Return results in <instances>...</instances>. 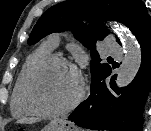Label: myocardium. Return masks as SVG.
<instances>
[{
    "mask_svg": "<svg viewBox=\"0 0 151 131\" xmlns=\"http://www.w3.org/2000/svg\"><path fill=\"white\" fill-rule=\"evenodd\" d=\"M53 64H61L70 68L74 72L78 80V87L72 99L63 107L59 109H55V110H42L36 107L30 100V95H29L30 82L33 75L37 71ZM85 89L86 87H85L84 78L80 70L77 68L75 64H73L71 61H69L65 57H62L59 55H48L37 60L28 68L24 76L23 83H22L21 104H22V107L29 114L39 116V117H45V118L57 117V116L67 114L70 111L74 110L83 100V97L85 95Z\"/></svg>",
    "mask_w": 151,
    "mask_h": 131,
    "instance_id": "myocardium-1",
    "label": "myocardium"
}]
</instances>
